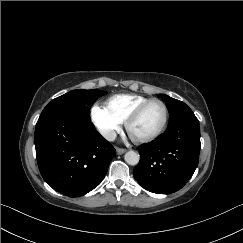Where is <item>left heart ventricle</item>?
Listing matches in <instances>:
<instances>
[{
    "mask_svg": "<svg viewBox=\"0 0 243 243\" xmlns=\"http://www.w3.org/2000/svg\"><path fill=\"white\" fill-rule=\"evenodd\" d=\"M164 109L160 103L150 104L140 118L130 127V134L134 138H145L159 129L163 122Z\"/></svg>",
    "mask_w": 243,
    "mask_h": 243,
    "instance_id": "b2bd125f",
    "label": "left heart ventricle"
}]
</instances>
